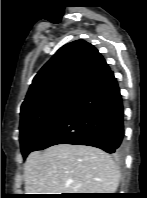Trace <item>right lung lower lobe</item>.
<instances>
[{
  "label": "right lung lower lobe",
  "mask_w": 147,
  "mask_h": 198,
  "mask_svg": "<svg viewBox=\"0 0 147 198\" xmlns=\"http://www.w3.org/2000/svg\"><path fill=\"white\" fill-rule=\"evenodd\" d=\"M123 103L110 70L37 143L33 151L57 144L94 146L120 157L124 137Z\"/></svg>",
  "instance_id": "right-lung-lower-lobe-1"
}]
</instances>
